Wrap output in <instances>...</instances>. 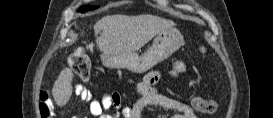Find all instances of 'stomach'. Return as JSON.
<instances>
[{"mask_svg":"<svg viewBox=\"0 0 273 118\" xmlns=\"http://www.w3.org/2000/svg\"><path fill=\"white\" fill-rule=\"evenodd\" d=\"M183 44V36L174 27L162 30L152 46L141 56L135 52L120 54L103 53L102 63L108 68H125L134 73H144L156 64L168 59Z\"/></svg>","mask_w":273,"mask_h":118,"instance_id":"obj_1","label":"stomach"}]
</instances>
